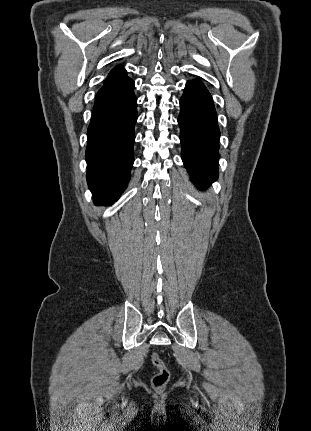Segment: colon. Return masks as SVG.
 Segmentation results:
<instances>
[{
    "mask_svg": "<svg viewBox=\"0 0 311 431\" xmlns=\"http://www.w3.org/2000/svg\"><path fill=\"white\" fill-rule=\"evenodd\" d=\"M151 362L157 369V372L152 378V385L155 389H163L170 378V372L165 362L161 359L158 353H153L151 356Z\"/></svg>",
    "mask_w": 311,
    "mask_h": 431,
    "instance_id": "obj_1",
    "label": "colon"
}]
</instances>
